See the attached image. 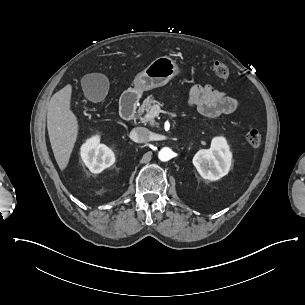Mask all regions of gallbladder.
I'll list each match as a JSON object with an SVG mask.
<instances>
[{
	"mask_svg": "<svg viewBox=\"0 0 305 305\" xmlns=\"http://www.w3.org/2000/svg\"><path fill=\"white\" fill-rule=\"evenodd\" d=\"M81 87L85 98L95 104L105 101L110 82L102 73H89L81 78Z\"/></svg>",
	"mask_w": 305,
	"mask_h": 305,
	"instance_id": "obj_1",
	"label": "gallbladder"
}]
</instances>
